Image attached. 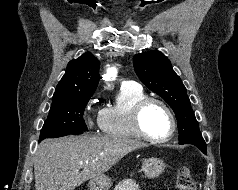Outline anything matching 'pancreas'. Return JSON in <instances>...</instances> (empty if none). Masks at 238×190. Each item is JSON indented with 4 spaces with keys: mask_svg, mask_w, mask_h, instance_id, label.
Returning <instances> with one entry per match:
<instances>
[{
    "mask_svg": "<svg viewBox=\"0 0 238 190\" xmlns=\"http://www.w3.org/2000/svg\"><path fill=\"white\" fill-rule=\"evenodd\" d=\"M114 190H140L139 185L132 179H125L119 182Z\"/></svg>",
    "mask_w": 238,
    "mask_h": 190,
    "instance_id": "1",
    "label": "pancreas"
}]
</instances>
